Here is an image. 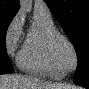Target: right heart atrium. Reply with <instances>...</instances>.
I'll return each instance as SVG.
<instances>
[{
  "mask_svg": "<svg viewBox=\"0 0 89 89\" xmlns=\"http://www.w3.org/2000/svg\"><path fill=\"white\" fill-rule=\"evenodd\" d=\"M24 18L21 14H17L10 22L6 35H5V47L9 55H13L17 50L23 31Z\"/></svg>",
  "mask_w": 89,
  "mask_h": 89,
  "instance_id": "d8ad5b80",
  "label": "right heart atrium"
}]
</instances>
